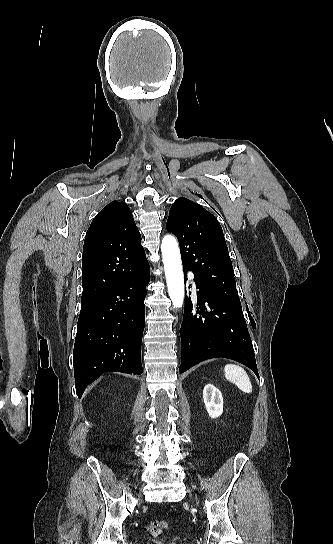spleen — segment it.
I'll return each instance as SVG.
<instances>
[{"label": "spleen", "instance_id": "1", "mask_svg": "<svg viewBox=\"0 0 333 544\" xmlns=\"http://www.w3.org/2000/svg\"><path fill=\"white\" fill-rule=\"evenodd\" d=\"M225 378L235 384L242 392L250 394L252 392V384L246 371L236 364H227L224 367Z\"/></svg>", "mask_w": 333, "mask_h": 544}]
</instances>
